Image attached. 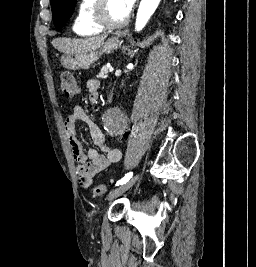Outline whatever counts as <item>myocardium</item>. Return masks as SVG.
<instances>
[{"label": "myocardium", "instance_id": "myocardium-1", "mask_svg": "<svg viewBox=\"0 0 256 267\" xmlns=\"http://www.w3.org/2000/svg\"><path fill=\"white\" fill-rule=\"evenodd\" d=\"M110 1L112 0H96L95 9L92 14L94 24L103 31H112L119 27L110 25L107 20L106 10Z\"/></svg>", "mask_w": 256, "mask_h": 267}]
</instances>
